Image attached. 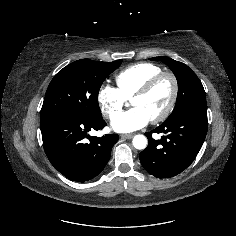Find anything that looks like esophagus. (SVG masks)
<instances>
[{"label":"esophagus","instance_id":"34e87169","mask_svg":"<svg viewBox=\"0 0 236 236\" xmlns=\"http://www.w3.org/2000/svg\"><path fill=\"white\" fill-rule=\"evenodd\" d=\"M134 136V134H123L121 135V138L123 139H131Z\"/></svg>","mask_w":236,"mask_h":236}]
</instances>
